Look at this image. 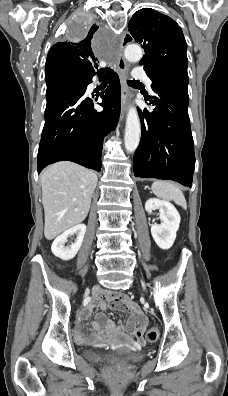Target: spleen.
<instances>
[{
    "instance_id": "3e777b00",
    "label": "spleen",
    "mask_w": 228,
    "mask_h": 396,
    "mask_svg": "<svg viewBox=\"0 0 228 396\" xmlns=\"http://www.w3.org/2000/svg\"><path fill=\"white\" fill-rule=\"evenodd\" d=\"M151 189L158 198L173 201L182 208H187V203L182 191L173 183L158 180L153 182Z\"/></svg>"
}]
</instances>
